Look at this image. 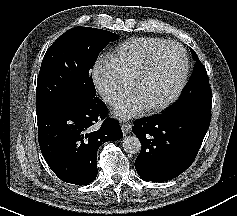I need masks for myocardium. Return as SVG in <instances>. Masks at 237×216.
I'll return each instance as SVG.
<instances>
[{"label": "myocardium", "mask_w": 237, "mask_h": 216, "mask_svg": "<svg viewBox=\"0 0 237 216\" xmlns=\"http://www.w3.org/2000/svg\"><path fill=\"white\" fill-rule=\"evenodd\" d=\"M172 62H180V69L177 76V81L172 87V89L168 92V94L164 98L158 101H154V102L138 99L136 97V89H137V85L141 76L146 73H152L155 70H157L159 67H162L163 65L167 63H172ZM187 63H188V57H187L186 52L178 51V53H170V54L159 56L157 59H154L153 61L149 62L147 65L138 66L139 74L135 77L130 88V94H129L130 101L136 102L139 105V107L154 109L172 100L178 94V92H180V90L184 87V83L186 79Z\"/></svg>", "instance_id": "obj_1"}]
</instances>
